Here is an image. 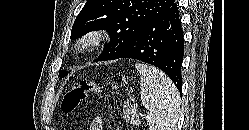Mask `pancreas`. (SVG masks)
Listing matches in <instances>:
<instances>
[{
	"instance_id": "1",
	"label": "pancreas",
	"mask_w": 249,
	"mask_h": 130,
	"mask_svg": "<svg viewBox=\"0 0 249 130\" xmlns=\"http://www.w3.org/2000/svg\"><path fill=\"white\" fill-rule=\"evenodd\" d=\"M123 118L133 125L140 124V118L136 111V107L128 102H125L123 106Z\"/></svg>"
}]
</instances>
